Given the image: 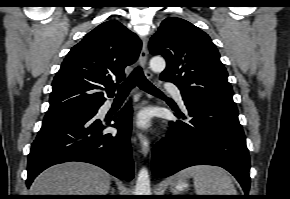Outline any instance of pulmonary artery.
<instances>
[{
  "instance_id": "1",
  "label": "pulmonary artery",
  "mask_w": 290,
  "mask_h": 199,
  "mask_svg": "<svg viewBox=\"0 0 290 199\" xmlns=\"http://www.w3.org/2000/svg\"><path fill=\"white\" fill-rule=\"evenodd\" d=\"M165 90L174 94V96L180 101L183 102L180 90L172 83H167L164 86Z\"/></svg>"
}]
</instances>
